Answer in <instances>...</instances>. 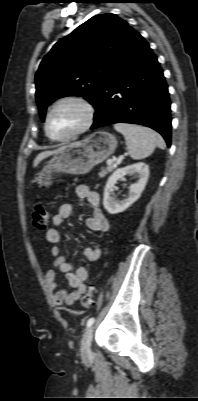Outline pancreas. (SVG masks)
<instances>
[{
	"mask_svg": "<svg viewBox=\"0 0 198 401\" xmlns=\"http://www.w3.org/2000/svg\"><path fill=\"white\" fill-rule=\"evenodd\" d=\"M115 169L113 163L107 164L105 168H102L101 172L99 173V177L103 178L108 173L112 172Z\"/></svg>",
	"mask_w": 198,
	"mask_h": 401,
	"instance_id": "obj_1",
	"label": "pancreas"
}]
</instances>
